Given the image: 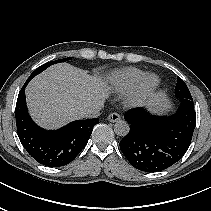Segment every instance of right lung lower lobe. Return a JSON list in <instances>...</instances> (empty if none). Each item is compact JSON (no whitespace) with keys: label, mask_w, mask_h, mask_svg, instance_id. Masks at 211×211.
<instances>
[{"label":"right lung lower lobe","mask_w":211,"mask_h":211,"mask_svg":"<svg viewBox=\"0 0 211 211\" xmlns=\"http://www.w3.org/2000/svg\"><path fill=\"white\" fill-rule=\"evenodd\" d=\"M19 92L16 103V126L19 139L25 150L37 162L48 167L67 165L86 146L98 118L77 120L55 130L47 131L37 126L30 118L26 106L25 87Z\"/></svg>","instance_id":"98d812e1"}]
</instances>
